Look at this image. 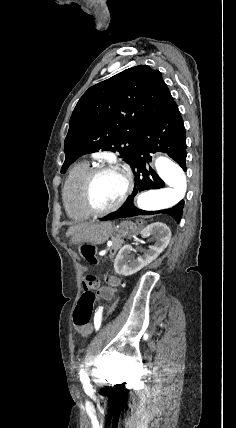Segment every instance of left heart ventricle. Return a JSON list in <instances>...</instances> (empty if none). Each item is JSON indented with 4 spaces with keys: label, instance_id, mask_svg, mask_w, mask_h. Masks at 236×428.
Wrapping results in <instances>:
<instances>
[{
    "label": "left heart ventricle",
    "instance_id": "obj_1",
    "mask_svg": "<svg viewBox=\"0 0 236 428\" xmlns=\"http://www.w3.org/2000/svg\"><path fill=\"white\" fill-rule=\"evenodd\" d=\"M126 187V177L121 170L105 171L98 175L92 184L93 201L100 207L111 206L122 198Z\"/></svg>",
    "mask_w": 236,
    "mask_h": 428
}]
</instances>
